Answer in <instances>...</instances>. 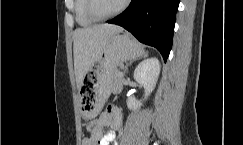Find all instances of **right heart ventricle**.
Returning a JSON list of instances; mask_svg holds the SVG:
<instances>
[{"mask_svg": "<svg viewBox=\"0 0 243 145\" xmlns=\"http://www.w3.org/2000/svg\"><path fill=\"white\" fill-rule=\"evenodd\" d=\"M87 0H75V19L76 22L82 27H89L96 21L91 19L86 11Z\"/></svg>", "mask_w": 243, "mask_h": 145, "instance_id": "obj_1", "label": "right heart ventricle"}]
</instances>
